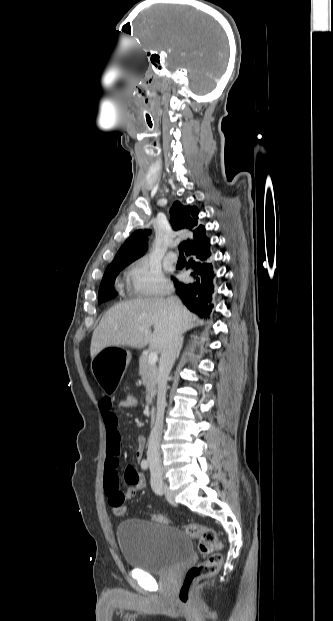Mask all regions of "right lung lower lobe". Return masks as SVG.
Returning a JSON list of instances; mask_svg holds the SVG:
<instances>
[{
    "instance_id": "98d812e1",
    "label": "right lung lower lobe",
    "mask_w": 333,
    "mask_h": 621,
    "mask_svg": "<svg viewBox=\"0 0 333 621\" xmlns=\"http://www.w3.org/2000/svg\"><path fill=\"white\" fill-rule=\"evenodd\" d=\"M186 255L190 257L186 267L191 268L194 281L184 284L174 279L176 294L192 312L208 318L213 308L215 282L210 245L193 248Z\"/></svg>"
}]
</instances>
